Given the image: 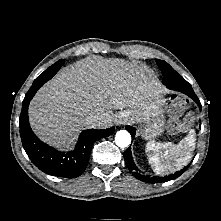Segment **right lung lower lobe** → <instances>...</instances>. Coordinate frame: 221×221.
<instances>
[{
    "mask_svg": "<svg viewBox=\"0 0 221 221\" xmlns=\"http://www.w3.org/2000/svg\"><path fill=\"white\" fill-rule=\"evenodd\" d=\"M57 71L58 69L51 71L50 75L41 74L25 95L19 118L20 136L23 148L36 167L49 175L72 178L81 175L87 167L94 142L111 135L115 127L104 130H84L79 136L75 149L70 152H60L39 140L30 128L29 102L37 90Z\"/></svg>",
    "mask_w": 221,
    "mask_h": 221,
    "instance_id": "98d812e1",
    "label": "right lung lower lobe"
}]
</instances>
